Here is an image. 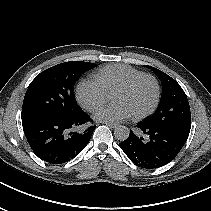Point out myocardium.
Wrapping results in <instances>:
<instances>
[{"label":"myocardium","instance_id":"obj_1","mask_svg":"<svg viewBox=\"0 0 211 211\" xmlns=\"http://www.w3.org/2000/svg\"><path fill=\"white\" fill-rule=\"evenodd\" d=\"M144 79H148L153 83L154 88H155V97H154V100H153L152 104L150 105V107H148L144 111L137 112V113L133 114V117L136 119L144 118V117L152 114L156 110V108L159 104L160 95H161V90H160V85H159L158 80L153 75L144 73V74L136 76V77L130 79L129 81L125 82L124 84L120 85L113 92V93H115V92L127 91V90L131 89L134 85H136L138 82H140Z\"/></svg>","mask_w":211,"mask_h":211}]
</instances>
